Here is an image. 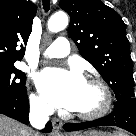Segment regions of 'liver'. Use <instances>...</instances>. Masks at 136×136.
I'll list each match as a JSON object with an SVG mask.
<instances>
[{
  "label": "liver",
  "instance_id": "liver-1",
  "mask_svg": "<svg viewBox=\"0 0 136 136\" xmlns=\"http://www.w3.org/2000/svg\"><path fill=\"white\" fill-rule=\"evenodd\" d=\"M0 136H30V132L21 123L0 115Z\"/></svg>",
  "mask_w": 136,
  "mask_h": 136
}]
</instances>
